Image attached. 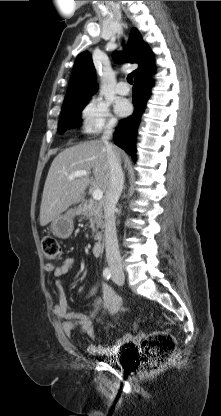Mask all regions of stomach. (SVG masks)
<instances>
[{
	"label": "stomach",
	"mask_w": 221,
	"mask_h": 416,
	"mask_svg": "<svg viewBox=\"0 0 221 416\" xmlns=\"http://www.w3.org/2000/svg\"><path fill=\"white\" fill-rule=\"evenodd\" d=\"M74 217L75 212H68L51 221L50 229L53 235L61 239L69 238L74 230Z\"/></svg>",
	"instance_id": "obj_1"
}]
</instances>
